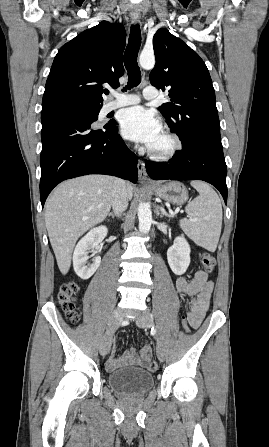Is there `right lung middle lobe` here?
Masks as SVG:
<instances>
[{
    "label": "right lung middle lobe",
    "mask_w": 269,
    "mask_h": 447,
    "mask_svg": "<svg viewBox=\"0 0 269 447\" xmlns=\"http://www.w3.org/2000/svg\"><path fill=\"white\" fill-rule=\"evenodd\" d=\"M72 107L73 110L81 116L88 117L94 121L98 119V114L102 105L99 104H76L64 108ZM113 123V122H112Z\"/></svg>",
    "instance_id": "right-lung-middle-lobe-1"
}]
</instances>
